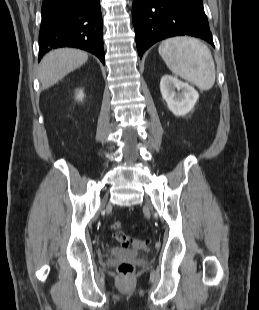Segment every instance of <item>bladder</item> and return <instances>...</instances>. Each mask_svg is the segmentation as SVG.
<instances>
[{
  "label": "bladder",
  "instance_id": "31cf9c89",
  "mask_svg": "<svg viewBox=\"0 0 259 310\" xmlns=\"http://www.w3.org/2000/svg\"><path fill=\"white\" fill-rule=\"evenodd\" d=\"M109 252L111 256L122 259H134L139 255L136 251L127 250L120 247H112Z\"/></svg>",
  "mask_w": 259,
  "mask_h": 310
}]
</instances>
